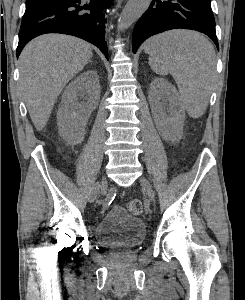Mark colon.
<instances>
[{
    "instance_id": "obj_1",
    "label": "colon",
    "mask_w": 245,
    "mask_h": 300,
    "mask_svg": "<svg viewBox=\"0 0 245 300\" xmlns=\"http://www.w3.org/2000/svg\"><path fill=\"white\" fill-rule=\"evenodd\" d=\"M128 210L133 215H139L143 211V204L139 199H132L128 203Z\"/></svg>"
}]
</instances>
